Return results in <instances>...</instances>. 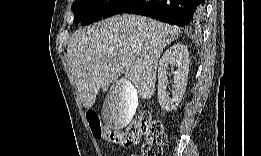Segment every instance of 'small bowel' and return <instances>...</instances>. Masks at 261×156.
Wrapping results in <instances>:
<instances>
[{
	"mask_svg": "<svg viewBox=\"0 0 261 156\" xmlns=\"http://www.w3.org/2000/svg\"><path fill=\"white\" fill-rule=\"evenodd\" d=\"M95 117H96V119H97V120L99 119V117H98V115H97V114H96V116H95Z\"/></svg>",
	"mask_w": 261,
	"mask_h": 156,
	"instance_id": "obj_1",
	"label": "small bowel"
}]
</instances>
